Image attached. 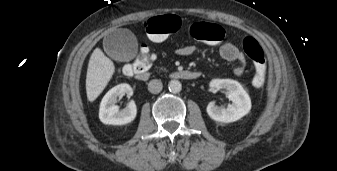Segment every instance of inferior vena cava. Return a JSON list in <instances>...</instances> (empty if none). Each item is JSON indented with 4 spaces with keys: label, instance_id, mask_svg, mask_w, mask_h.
Wrapping results in <instances>:
<instances>
[{
    "label": "inferior vena cava",
    "instance_id": "1",
    "mask_svg": "<svg viewBox=\"0 0 337 171\" xmlns=\"http://www.w3.org/2000/svg\"><path fill=\"white\" fill-rule=\"evenodd\" d=\"M163 88L162 82L158 79H153L148 84V90L149 92L153 94L159 93Z\"/></svg>",
    "mask_w": 337,
    "mask_h": 171
}]
</instances>
